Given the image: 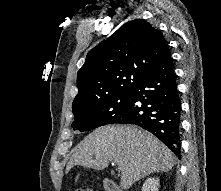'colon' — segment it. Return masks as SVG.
<instances>
[{"label":"colon","mask_w":221,"mask_h":191,"mask_svg":"<svg viewBox=\"0 0 221 191\" xmlns=\"http://www.w3.org/2000/svg\"><path fill=\"white\" fill-rule=\"evenodd\" d=\"M75 191H91V190L79 188V189H76Z\"/></svg>","instance_id":"colon-1"}]
</instances>
